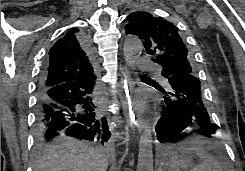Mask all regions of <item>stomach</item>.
Wrapping results in <instances>:
<instances>
[{
    "mask_svg": "<svg viewBox=\"0 0 245 171\" xmlns=\"http://www.w3.org/2000/svg\"><path fill=\"white\" fill-rule=\"evenodd\" d=\"M190 151H187L182 157L174 156L170 160V166L175 169L174 171H181L180 168H188L192 165V156Z\"/></svg>",
    "mask_w": 245,
    "mask_h": 171,
    "instance_id": "obj_1",
    "label": "stomach"
}]
</instances>
